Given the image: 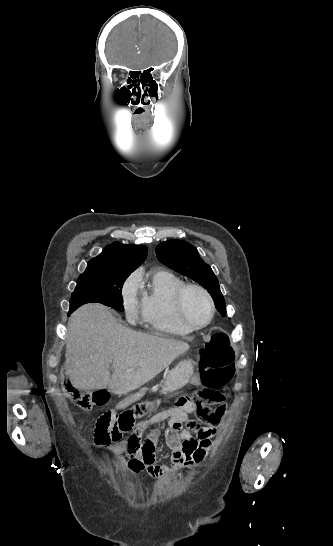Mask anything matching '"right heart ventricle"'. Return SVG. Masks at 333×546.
Masks as SVG:
<instances>
[{"mask_svg":"<svg viewBox=\"0 0 333 546\" xmlns=\"http://www.w3.org/2000/svg\"><path fill=\"white\" fill-rule=\"evenodd\" d=\"M184 284L180 277L166 270L150 274L141 291L142 320L149 327L176 337L192 333L181 323L174 307L175 294Z\"/></svg>","mask_w":333,"mask_h":546,"instance_id":"right-heart-ventricle-1","label":"right heart ventricle"}]
</instances>
